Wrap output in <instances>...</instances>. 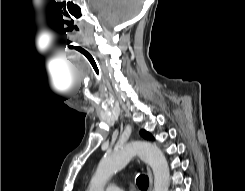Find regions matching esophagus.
<instances>
[{
    "instance_id": "34e87169",
    "label": "esophagus",
    "mask_w": 245,
    "mask_h": 191,
    "mask_svg": "<svg viewBox=\"0 0 245 191\" xmlns=\"http://www.w3.org/2000/svg\"><path fill=\"white\" fill-rule=\"evenodd\" d=\"M147 174H148V177H149V188H148V191H152L153 176H152V172H151L149 167H147Z\"/></svg>"
}]
</instances>
